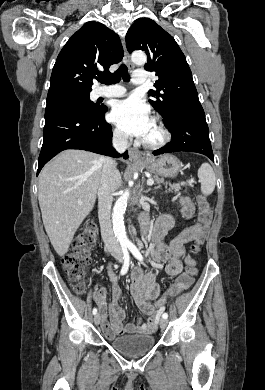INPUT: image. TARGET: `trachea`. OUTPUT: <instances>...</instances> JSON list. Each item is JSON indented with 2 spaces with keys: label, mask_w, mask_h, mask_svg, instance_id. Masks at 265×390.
I'll return each mask as SVG.
<instances>
[{
  "label": "trachea",
  "mask_w": 265,
  "mask_h": 390,
  "mask_svg": "<svg viewBox=\"0 0 265 390\" xmlns=\"http://www.w3.org/2000/svg\"><path fill=\"white\" fill-rule=\"evenodd\" d=\"M121 78L123 79V81H130V75L128 73V68L125 64H121L118 68V70L113 73L112 75L108 76V77H102L99 79V81L101 83H104L106 85H111V84H115V83H118Z\"/></svg>",
  "instance_id": "obj_1"
}]
</instances>
